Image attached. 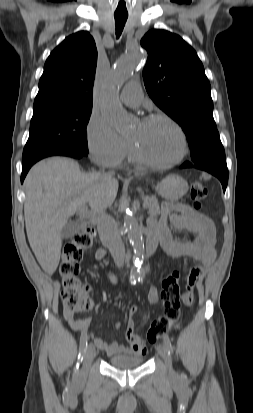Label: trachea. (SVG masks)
Masks as SVG:
<instances>
[{
    "instance_id": "1",
    "label": "trachea",
    "mask_w": 253,
    "mask_h": 413,
    "mask_svg": "<svg viewBox=\"0 0 253 413\" xmlns=\"http://www.w3.org/2000/svg\"><path fill=\"white\" fill-rule=\"evenodd\" d=\"M114 17L116 24V36L119 38L127 21L128 14H114Z\"/></svg>"
}]
</instances>
